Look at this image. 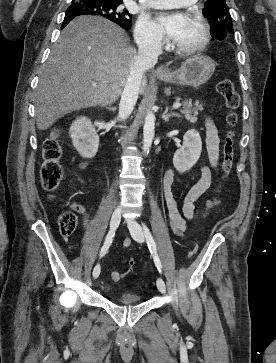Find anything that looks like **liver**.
Listing matches in <instances>:
<instances>
[{"instance_id":"1","label":"liver","mask_w":276,"mask_h":363,"mask_svg":"<svg viewBox=\"0 0 276 363\" xmlns=\"http://www.w3.org/2000/svg\"><path fill=\"white\" fill-rule=\"evenodd\" d=\"M135 55L126 32L115 23L96 16L73 19L40 73L35 96L37 128L46 130L73 111L116 102ZM146 86L143 74L141 93Z\"/></svg>"}]
</instances>
